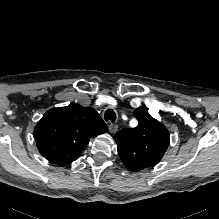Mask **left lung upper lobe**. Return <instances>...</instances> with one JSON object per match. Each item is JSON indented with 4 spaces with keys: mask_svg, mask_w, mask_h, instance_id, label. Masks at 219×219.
Instances as JSON below:
<instances>
[{
    "mask_svg": "<svg viewBox=\"0 0 219 219\" xmlns=\"http://www.w3.org/2000/svg\"><path fill=\"white\" fill-rule=\"evenodd\" d=\"M147 110L148 108H137L134 116L138 120V126L123 129L115 135L121 160L128 170L134 172L156 165L170 142L166 127L152 118Z\"/></svg>",
    "mask_w": 219,
    "mask_h": 219,
    "instance_id": "obj_1",
    "label": "left lung upper lobe"
}]
</instances>
